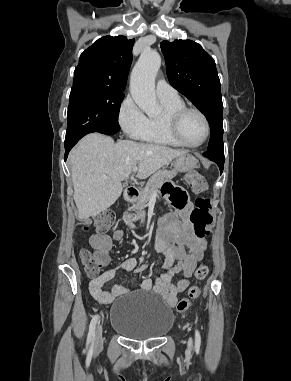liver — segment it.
Listing matches in <instances>:
<instances>
[{
  "instance_id": "obj_1",
  "label": "liver",
  "mask_w": 291,
  "mask_h": 381,
  "mask_svg": "<svg viewBox=\"0 0 291 381\" xmlns=\"http://www.w3.org/2000/svg\"><path fill=\"white\" fill-rule=\"evenodd\" d=\"M185 153L132 140L114 143L111 137L99 133L86 135L69 154L78 218L87 220L113 205L121 196V181L137 164V177L146 179Z\"/></svg>"
}]
</instances>
